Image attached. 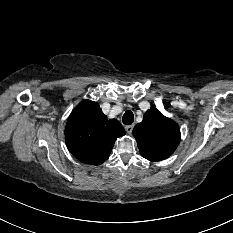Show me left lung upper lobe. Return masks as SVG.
Returning a JSON list of instances; mask_svg holds the SVG:
<instances>
[{"label": "left lung upper lobe", "instance_id": "5c2ea615", "mask_svg": "<svg viewBox=\"0 0 233 233\" xmlns=\"http://www.w3.org/2000/svg\"><path fill=\"white\" fill-rule=\"evenodd\" d=\"M141 155L156 162L168 158L180 142L179 126L156 107L146 111L143 121L133 129Z\"/></svg>", "mask_w": 233, "mask_h": 233}]
</instances>
